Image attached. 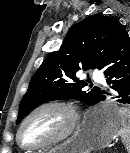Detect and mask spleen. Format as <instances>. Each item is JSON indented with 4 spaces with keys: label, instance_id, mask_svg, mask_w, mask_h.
I'll return each instance as SVG.
<instances>
[{
    "label": "spleen",
    "instance_id": "1",
    "mask_svg": "<svg viewBox=\"0 0 130 153\" xmlns=\"http://www.w3.org/2000/svg\"><path fill=\"white\" fill-rule=\"evenodd\" d=\"M118 113L121 118L122 128L120 135L126 150L130 153V109L126 107L118 108Z\"/></svg>",
    "mask_w": 130,
    "mask_h": 153
}]
</instances>
